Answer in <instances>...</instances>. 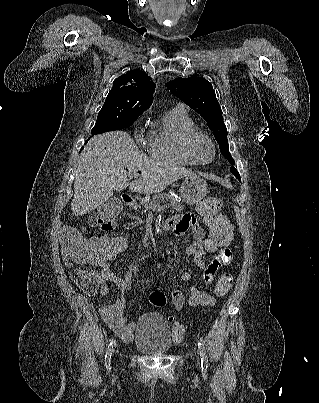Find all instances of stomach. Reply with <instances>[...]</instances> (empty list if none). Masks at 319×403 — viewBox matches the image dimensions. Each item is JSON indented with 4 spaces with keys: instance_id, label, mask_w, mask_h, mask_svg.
I'll return each instance as SVG.
<instances>
[{
    "instance_id": "obj_1",
    "label": "stomach",
    "mask_w": 319,
    "mask_h": 403,
    "mask_svg": "<svg viewBox=\"0 0 319 403\" xmlns=\"http://www.w3.org/2000/svg\"><path fill=\"white\" fill-rule=\"evenodd\" d=\"M208 187L205 180L198 176H188L182 182L180 194L183 202L193 205L200 202L207 194Z\"/></svg>"
}]
</instances>
